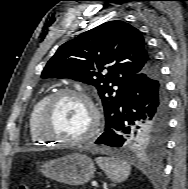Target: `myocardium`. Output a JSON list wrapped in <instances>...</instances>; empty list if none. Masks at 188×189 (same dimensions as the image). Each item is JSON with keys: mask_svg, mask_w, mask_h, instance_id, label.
Segmentation results:
<instances>
[{"mask_svg": "<svg viewBox=\"0 0 188 189\" xmlns=\"http://www.w3.org/2000/svg\"><path fill=\"white\" fill-rule=\"evenodd\" d=\"M65 97H74L85 101L88 104L90 111L92 113V123L90 128L87 130V132L84 135L78 138H74V139L61 138L59 136L51 135L47 130L48 118L53 107L55 106L57 101ZM100 125H101L100 110L97 104L95 103V101L93 100V98L89 94L74 89H61L51 94L48 97V99L45 101L37 118L36 131L39 137L47 142H57L65 146H75V145L83 144L88 140L92 139L98 133L100 129Z\"/></svg>", "mask_w": 188, "mask_h": 189, "instance_id": "obj_1", "label": "myocardium"}]
</instances>
